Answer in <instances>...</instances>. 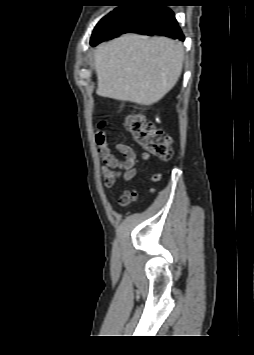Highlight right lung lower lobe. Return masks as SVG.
Listing matches in <instances>:
<instances>
[{
  "instance_id": "right-lung-lower-lobe-1",
  "label": "right lung lower lobe",
  "mask_w": 254,
  "mask_h": 355,
  "mask_svg": "<svg viewBox=\"0 0 254 355\" xmlns=\"http://www.w3.org/2000/svg\"><path fill=\"white\" fill-rule=\"evenodd\" d=\"M165 6V0H141L122 5L112 13L98 37L90 44L96 46L124 33L160 35L183 41L184 35L174 13Z\"/></svg>"
}]
</instances>
